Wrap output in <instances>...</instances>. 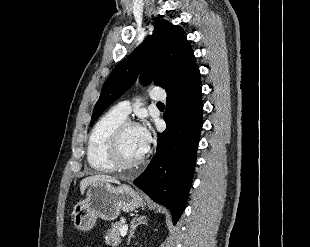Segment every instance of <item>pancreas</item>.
Here are the masks:
<instances>
[{"label": "pancreas", "mask_w": 310, "mask_h": 247, "mask_svg": "<svg viewBox=\"0 0 310 247\" xmlns=\"http://www.w3.org/2000/svg\"><path fill=\"white\" fill-rule=\"evenodd\" d=\"M124 226L121 222H116L111 225L105 235V243L109 246H117L121 243V228Z\"/></svg>", "instance_id": "pancreas-1"}]
</instances>
